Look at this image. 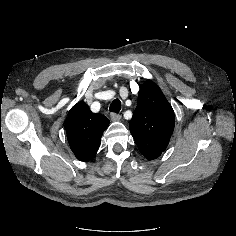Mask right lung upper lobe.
Returning a JSON list of instances; mask_svg holds the SVG:
<instances>
[{"instance_id": "1", "label": "right lung upper lobe", "mask_w": 236, "mask_h": 236, "mask_svg": "<svg viewBox=\"0 0 236 236\" xmlns=\"http://www.w3.org/2000/svg\"><path fill=\"white\" fill-rule=\"evenodd\" d=\"M108 125V118L92 113L85 102H78L72 107L65 129L70 148L77 159L87 162L94 157Z\"/></svg>"}]
</instances>
